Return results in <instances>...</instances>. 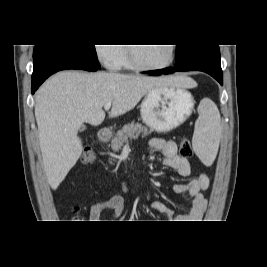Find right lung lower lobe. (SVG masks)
I'll return each instance as SVG.
<instances>
[{
	"label": "right lung lower lobe",
	"instance_id": "98d812e1",
	"mask_svg": "<svg viewBox=\"0 0 267 267\" xmlns=\"http://www.w3.org/2000/svg\"><path fill=\"white\" fill-rule=\"evenodd\" d=\"M32 94L52 74L68 69L97 71L98 66L60 45H35L33 51Z\"/></svg>",
	"mask_w": 267,
	"mask_h": 267
}]
</instances>
